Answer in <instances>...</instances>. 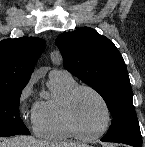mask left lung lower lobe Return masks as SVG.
<instances>
[{
    "label": "left lung lower lobe",
    "instance_id": "left-lung-lower-lobe-1",
    "mask_svg": "<svg viewBox=\"0 0 145 147\" xmlns=\"http://www.w3.org/2000/svg\"><path fill=\"white\" fill-rule=\"evenodd\" d=\"M101 141L109 142V141H106L104 138H102ZM128 145H132V146H134V147H142V144H139V145L128 144Z\"/></svg>",
    "mask_w": 145,
    "mask_h": 147
}]
</instances>
